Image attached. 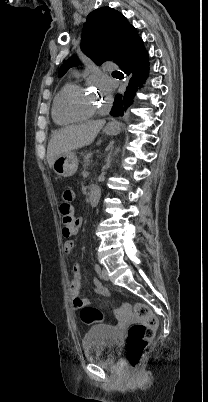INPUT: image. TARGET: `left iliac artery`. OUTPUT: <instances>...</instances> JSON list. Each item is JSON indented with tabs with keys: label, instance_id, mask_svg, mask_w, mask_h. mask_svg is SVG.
Masks as SVG:
<instances>
[{
	"label": "left iliac artery",
	"instance_id": "1",
	"mask_svg": "<svg viewBox=\"0 0 208 402\" xmlns=\"http://www.w3.org/2000/svg\"><path fill=\"white\" fill-rule=\"evenodd\" d=\"M95 271L99 274L101 271L100 265L99 264H95Z\"/></svg>",
	"mask_w": 208,
	"mask_h": 402
}]
</instances>
